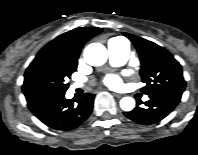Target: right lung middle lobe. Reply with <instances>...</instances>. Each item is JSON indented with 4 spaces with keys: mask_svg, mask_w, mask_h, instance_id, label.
Masks as SVG:
<instances>
[{
    "mask_svg": "<svg viewBox=\"0 0 198 155\" xmlns=\"http://www.w3.org/2000/svg\"><path fill=\"white\" fill-rule=\"evenodd\" d=\"M78 59L59 55L35 58L25 72L23 93L43 91L66 92L69 85L65 82L77 68Z\"/></svg>",
    "mask_w": 198,
    "mask_h": 155,
    "instance_id": "dd1d6c3e",
    "label": "right lung middle lobe"
}]
</instances>
